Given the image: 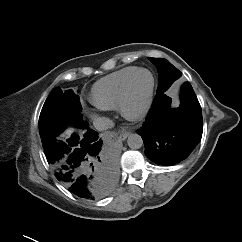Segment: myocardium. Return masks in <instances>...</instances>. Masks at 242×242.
Returning <instances> with one entry per match:
<instances>
[{"mask_svg": "<svg viewBox=\"0 0 242 242\" xmlns=\"http://www.w3.org/2000/svg\"><path fill=\"white\" fill-rule=\"evenodd\" d=\"M143 72H146L150 75L151 83L148 88V91L145 95L144 101L141 104V106L138 109H132L130 106L131 101V95L133 90V85L135 82V79L137 76ZM155 77L153 73L145 68H139L128 80L124 91L121 95L120 101H119V110L122 114V116L130 121H139L143 119L149 112L152 102H153V96L155 91Z\"/></svg>", "mask_w": 242, "mask_h": 242, "instance_id": "1", "label": "myocardium"}]
</instances>
